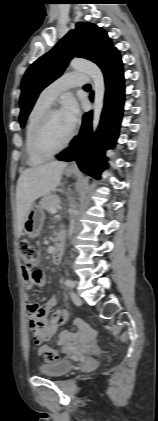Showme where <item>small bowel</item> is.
I'll return each instance as SVG.
<instances>
[{"label": "small bowel", "instance_id": "small-bowel-1", "mask_svg": "<svg viewBox=\"0 0 158 421\" xmlns=\"http://www.w3.org/2000/svg\"><path fill=\"white\" fill-rule=\"evenodd\" d=\"M25 285L29 288L43 287L46 283L45 274L41 270L33 272L23 271ZM56 305V298L52 297L45 303L27 304L29 325L33 338L41 343L50 340L57 334L61 325L69 319V313L60 309L50 316L51 309ZM92 335L91 328L82 320L74 322V330H65L58 334L57 342L68 350L75 343L86 342Z\"/></svg>", "mask_w": 158, "mask_h": 421}]
</instances>
